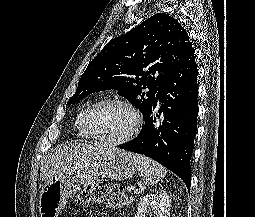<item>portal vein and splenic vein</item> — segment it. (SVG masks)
Here are the masks:
<instances>
[{
  "label": "portal vein and splenic vein",
  "instance_id": "1",
  "mask_svg": "<svg viewBox=\"0 0 255 217\" xmlns=\"http://www.w3.org/2000/svg\"><path fill=\"white\" fill-rule=\"evenodd\" d=\"M126 189H127L128 192H131L134 189V187L133 186H127Z\"/></svg>",
  "mask_w": 255,
  "mask_h": 217
}]
</instances>
